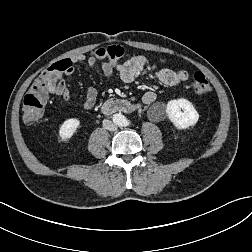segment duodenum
I'll use <instances>...</instances> for the list:
<instances>
[{
  "label": "duodenum",
  "mask_w": 252,
  "mask_h": 252,
  "mask_svg": "<svg viewBox=\"0 0 252 252\" xmlns=\"http://www.w3.org/2000/svg\"><path fill=\"white\" fill-rule=\"evenodd\" d=\"M104 114H114L118 112H133L134 106L126 101L119 99H109L100 106Z\"/></svg>",
  "instance_id": "1"
}]
</instances>
